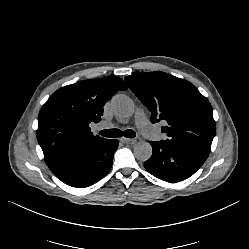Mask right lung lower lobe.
<instances>
[{
    "label": "right lung lower lobe",
    "mask_w": 249,
    "mask_h": 249,
    "mask_svg": "<svg viewBox=\"0 0 249 249\" xmlns=\"http://www.w3.org/2000/svg\"><path fill=\"white\" fill-rule=\"evenodd\" d=\"M119 141L105 139L98 146L82 151L51 168L62 182L73 187H87L102 179L111 169Z\"/></svg>",
    "instance_id": "1"
}]
</instances>
